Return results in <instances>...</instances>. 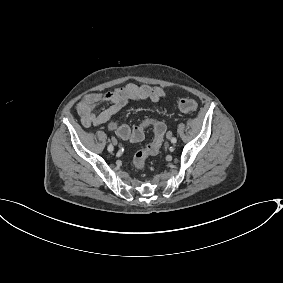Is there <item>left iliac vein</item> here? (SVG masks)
Masks as SVG:
<instances>
[{
	"label": "left iliac vein",
	"instance_id": "left-iliac-vein-1",
	"mask_svg": "<svg viewBox=\"0 0 283 283\" xmlns=\"http://www.w3.org/2000/svg\"><path fill=\"white\" fill-rule=\"evenodd\" d=\"M167 139H171L172 137V132H168L167 135H166Z\"/></svg>",
	"mask_w": 283,
	"mask_h": 283
}]
</instances>
